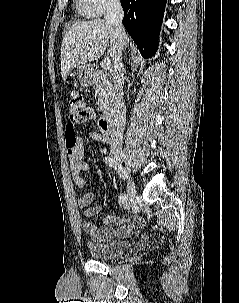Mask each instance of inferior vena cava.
<instances>
[{"label": "inferior vena cava", "instance_id": "inferior-vena-cava-1", "mask_svg": "<svg viewBox=\"0 0 239 303\" xmlns=\"http://www.w3.org/2000/svg\"><path fill=\"white\" fill-rule=\"evenodd\" d=\"M124 12L120 4V0H109L105 20L115 28L116 35V52L114 56L113 66V135H112V149L120 151L122 149L123 132L126 121V108L123 100V84H124V65L122 63V50L125 45L126 32L122 25Z\"/></svg>", "mask_w": 239, "mask_h": 303}]
</instances>
